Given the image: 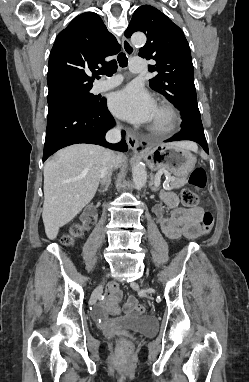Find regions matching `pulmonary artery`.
<instances>
[{"label":"pulmonary artery","mask_w":249,"mask_h":382,"mask_svg":"<svg viewBox=\"0 0 249 382\" xmlns=\"http://www.w3.org/2000/svg\"><path fill=\"white\" fill-rule=\"evenodd\" d=\"M145 61L143 58L133 57L130 60L129 69L132 72H140L145 69ZM122 81L120 76H115L109 79L101 80L96 84L97 91H104L116 87Z\"/></svg>","instance_id":"1"}]
</instances>
